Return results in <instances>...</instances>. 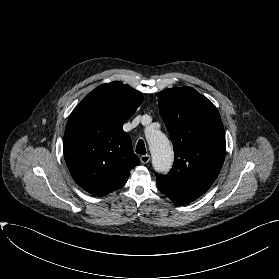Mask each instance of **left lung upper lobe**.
<instances>
[{
  "label": "left lung upper lobe",
  "mask_w": 279,
  "mask_h": 279,
  "mask_svg": "<svg viewBox=\"0 0 279 279\" xmlns=\"http://www.w3.org/2000/svg\"><path fill=\"white\" fill-rule=\"evenodd\" d=\"M160 115L174 149V165L157 184L198 198L218 177L226 142L217 108L191 87H176L158 95Z\"/></svg>",
  "instance_id": "left-lung-upper-lobe-1"
}]
</instances>
